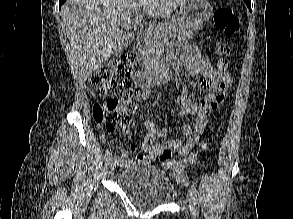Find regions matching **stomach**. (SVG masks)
I'll use <instances>...</instances> for the list:
<instances>
[{"instance_id":"obj_1","label":"stomach","mask_w":293,"mask_h":219,"mask_svg":"<svg viewBox=\"0 0 293 219\" xmlns=\"http://www.w3.org/2000/svg\"><path fill=\"white\" fill-rule=\"evenodd\" d=\"M179 13L190 28L198 30L211 18L213 8L207 0H185Z\"/></svg>"}]
</instances>
